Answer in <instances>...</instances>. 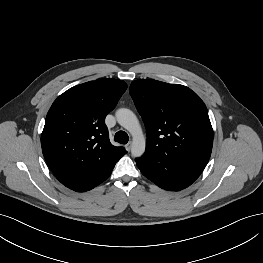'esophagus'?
<instances>
[{"label": "esophagus", "instance_id": "1", "mask_svg": "<svg viewBox=\"0 0 263 263\" xmlns=\"http://www.w3.org/2000/svg\"><path fill=\"white\" fill-rule=\"evenodd\" d=\"M126 150L129 152L131 150V142L125 145Z\"/></svg>", "mask_w": 263, "mask_h": 263}]
</instances>
